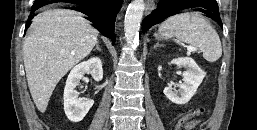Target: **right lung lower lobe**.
<instances>
[{
  "mask_svg": "<svg viewBox=\"0 0 257 130\" xmlns=\"http://www.w3.org/2000/svg\"><path fill=\"white\" fill-rule=\"evenodd\" d=\"M121 3L122 1L120 0H95L83 5H79L83 7L81 12L87 15L85 18L91 21L93 26L104 36L110 38L112 40V44H114V22L116 15L121 7ZM47 4L49 3L36 0L31 8V13ZM30 17L31 14L29 18ZM31 19L32 17L27 21L25 28L30 25Z\"/></svg>",
  "mask_w": 257,
  "mask_h": 130,
  "instance_id": "98d812e1",
  "label": "right lung lower lobe"
}]
</instances>
